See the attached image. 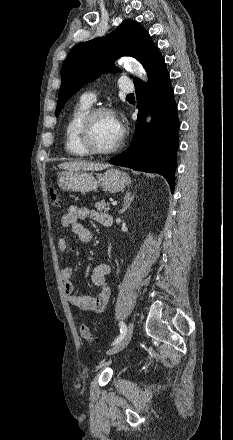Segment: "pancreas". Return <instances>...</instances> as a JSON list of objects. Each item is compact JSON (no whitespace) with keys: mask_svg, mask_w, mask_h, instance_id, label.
<instances>
[{"mask_svg":"<svg viewBox=\"0 0 233 440\" xmlns=\"http://www.w3.org/2000/svg\"><path fill=\"white\" fill-rule=\"evenodd\" d=\"M94 206L100 212H102V211L106 212V211H109V209H110L109 203H106L104 200L95 203Z\"/></svg>","mask_w":233,"mask_h":440,"instance_id":"obj_1","label":"pancreas"}]
</instances>
